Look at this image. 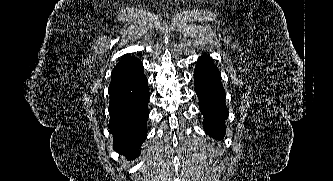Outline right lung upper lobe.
Here are the masks:
<instances>
[{"mask_svg": "<svg viewBox=\"0 0 333 181\" xmlns=\"http://www.w3.org/2000/svg\"><path fill=\"white\" fill-rule=\"evenodd\" d=\"M143 73V64L141 63V61L134 56L126 55L114 67L111 73L109 90L126 84L138 78Z\"/></svg>", "mask_w": 333, "mask_h": 181, "instance_id": "1", "label": "right lung upper lobe"}]
</instances>
